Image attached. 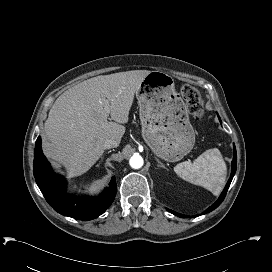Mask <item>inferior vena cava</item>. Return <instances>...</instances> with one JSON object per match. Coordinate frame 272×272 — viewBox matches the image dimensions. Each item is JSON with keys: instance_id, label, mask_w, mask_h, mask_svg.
Here are the masks:
<instances>
[{"instance_id": "obj_1", "label": "inferior vena cava", "mask_w": 272, "mask_h": 272, "mask_svg": "<svg viewBox=\"0 0 272 272\" xmlns=\"http://www.w3.org/2000/svg\"><path fill=\"white\" fill-rule=\"evenodd\" d=\"M119 145V143L113 139H107L104 142V149L115 148Z\"/></svg>"}]
</instances>
